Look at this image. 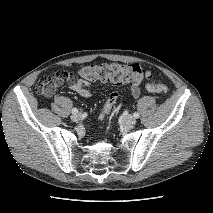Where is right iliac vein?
Instances as JSON below:
<instances>
[{
	"instance_id": "63e3f726",
	"label": "right iliac vein",
	"mask_w": 213,
	"mask_h": 213,
	"mask_svg": "<svg viewBox=\"0 0 213 213\" xmlns=\"http://www.w3.org/2000/svg\"><path fill=\"white\" fill-rule=\"evenodd\" d=\"M80 119H81V114H79V113L71 115V120L74 122H78V121H80Z\"/></svg>"
}]
</instances>
